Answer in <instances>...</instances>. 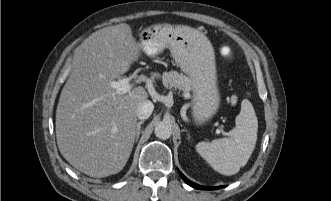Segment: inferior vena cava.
I'll return each instance as SVG.
<instances>
[{
  "label": "inferior vena cava",
  "instance_id": "inferior-vena-cava-1",
  "mask_svg": "<svg viewBox=\"0 0 331 201\" xmlns=\"http://www.w3.org/2000/svg\"><path fill=\"white\" fill-rule=\"evenodd\" d=\"M154 109V105L151 101L145 100L140 104L137 109V117L141 120L147 119L150 117Z\"/></svg>",
  "mask_w": 331,
  "mask_h": 201
}]
</instances>
